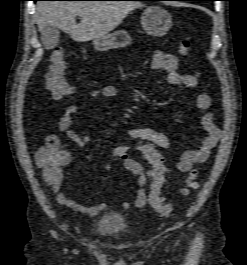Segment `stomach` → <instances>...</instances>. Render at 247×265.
<instances>
[{"mask_svg":"<svg viewBox=\"0 0 247 265\" xmlns=\"http://www.w3.org/2000/svg\"><path fill=\"white\" fill-rule=\"evenodd\" d=\"M143 30L152 36L161 37L165 35L172 26V16L160 6H148L141 15ZM131 36L127 31L118 30L103 38L93 41L97 51H108L110 49L124 48L131 44Z\"/></svg>","mask_w":247,"mask_h":265,"instance_id":"obj_1","label":"stomach"}]
</instances>
